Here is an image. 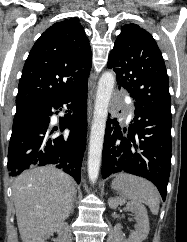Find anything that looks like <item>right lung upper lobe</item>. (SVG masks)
Returning <instances> with one entry per match:
<instances>
[{"mask_svg": "<svg viewBox=\"0 0 187 242\" xmlns=\"http://www.w3.org/2000/svg\"><path fill=\"white\" fill-rule=\"evenodd\" d=\"M91 59L89 40L77 18L52 25L36 41L25 62L17 109L86 84Z\"/></svg>", "mask_w": 187, "mask_h": 242, "instance_id": "obj_1", "label": "right lung upper lobe"}]
</instances>
